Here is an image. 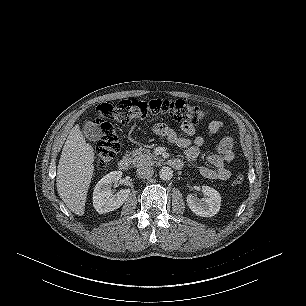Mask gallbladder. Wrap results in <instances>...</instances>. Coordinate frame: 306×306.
Wrapping results in <instances>:
<instances>
[{"instance_id": "bac80fb5", "label": "gallbladder", "mask_w": 306, "mask_h": 306, "mask_svg": "<svg viewBox=\"0 0 306 306\" xmlns=\"http://www.w3.org/2000/svg\"><path fill=\"white\" fill-rule=\"evenodd\" d=\"M84 136L90 141H97L101 137V129L93 122H86L83 128Z\"/></svg>"}]
</instances>
